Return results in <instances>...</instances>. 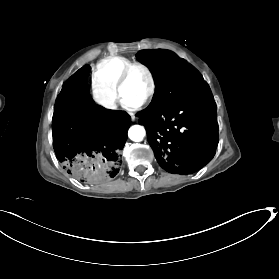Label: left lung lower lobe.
<instances>
[{
  "label": "left lung lower lobe",
  "mask_w": 279,
  "mask_h": 279,
  "mask_svg": "<svg viewBox=\"0 0 279 279\" xmlns=\"http://www.w3.org/2000/svg\"><path fill=\"white\" fill-rule=\"evenodd\" d=\"M159 165L173 174H191L214 156L218 144L216 104L207 84L167 108L137 114Z\"/></svg>",
  "instance_id": "left-lung-lower-lobe-1"
}]
</instances>
